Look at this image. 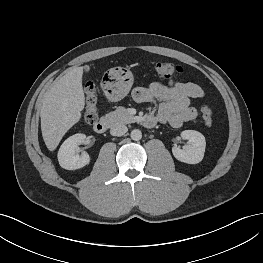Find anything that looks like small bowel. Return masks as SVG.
<instances>
[{
    "mask_svg": "<svg viewBox=\"0 0 263 263\" xmlns=\"http://www.w3.org/2000/svg\"><path fill=\"white\" fill-rule=\"evenodd\" d=\"M132 97L138 103L156 105V111L151 115L155 123L158 121L179 128L197 117L192 102L204 97V91L195 83L170 80L166 85L153 82L137 87Z\"/></svg>",
    "mask_w": 263,
    "mask_h": 263,
    "instance_id": "obj_1",
    "label": "small bowel"
}]
</instances>
